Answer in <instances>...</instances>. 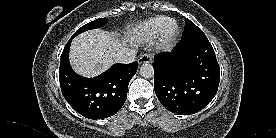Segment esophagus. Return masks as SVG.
<instances>
[{
  "label": "esophagus",
  "instance_id": "1",
  "mask_svg": "<svg viewBox=\"0 0 276 138\" xmlns=\"http://www.w3.org/2000/svg\"><path fill=\"white\" fill-rule=\"evenodd\" d=\"M152 60V57L150 54H143L139 57L138 63L139 64H145V63H150Z\"/></svg>",
  "mask_w": 276,
  "mask_h": 138
}]
</instances>
